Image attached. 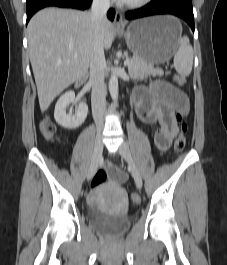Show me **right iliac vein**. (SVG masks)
Instances as JSON below:
<instances>
[{
  "label": "right iliac vein",
  "mask_w": 227,
  "mask_h": 265,
  "mask_svg": "<svg viewBox=\"0 0 227 265\" xmlns=\"http://www.w3.org/2000/svg\"><path fill=\"white\" fill-rule=\"evenodd\" d=\"M102 153H103L102 136L98 135L96 138V141H95L94 152H93L90 168H89L88 175H87L88 180H90L92 178V176L95 174V172L99 166V163H100V160L102 157Z\"/></svg>",
  "instance_id": "1"
}]
</instances>
